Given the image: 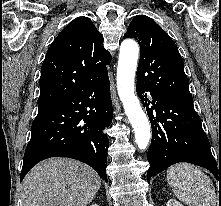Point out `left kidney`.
Listing matches in <instances>:
<instances>
[{
  "label": "left kidney",
  "mask_w": 221,
  "mask_h": 206,
  "mask_svg": "<svg viewBox=\"0 0 221 206\" xmlns=\"http://www.w3.org/2000/svg\"><path fill=\"white\" fill-rule=\"evenodd\" d=\"M166 206H183V205L176 199H169Z\"/></svg>",
  "instance_id": "left-kidney-1"
}]
</instances>
